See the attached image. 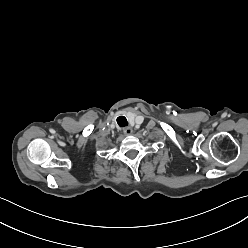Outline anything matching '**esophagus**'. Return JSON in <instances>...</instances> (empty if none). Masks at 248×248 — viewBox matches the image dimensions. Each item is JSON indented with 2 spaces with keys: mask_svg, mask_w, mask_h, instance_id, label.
<instances>
[{
  "mask_svg": "<svg viewBox=\"0 0 248 248\" xmlns=\"http://www.w3.org/2000/svg\"><path fill=\"white\" fill-rule=\"evenodd\" d=\"M132 132H133V130H132L130 127H127V128L124 129V133H125L126 135H131Z\"/></svg>",
  "mask_w": 248,
  "mask_h": 248,
  "instance_id": "1",
  "label": "esophagus"
}]
</instances>
